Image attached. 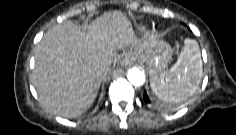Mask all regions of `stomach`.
I'll return each instance as SVG.
<instances>
[{"mask_svg":"<svg viewBox=\"0 0 236 135\" xmlns=\"http://www.w3.org/2000/svg\"><path fill=\"white\" fill-rule=\"evenodd\" d=\"M137 58L149 68L150 77L169 63L172 57L170 45L155 36H150L143 43L140 50H137Z\"/></svg>","mask_w":236,"mask_h":135,"instance_id":"0dacf381","label":"stomach"}]
</instances>
